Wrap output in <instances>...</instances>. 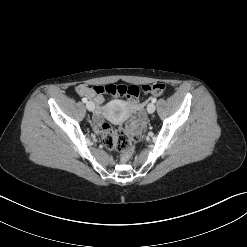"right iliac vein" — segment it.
Returning a JSON list of instances; mask_svg holds the SVG:
<instances>
[{"instance_id":"1","label":"right iliac vein","mask_w":247,"mask_h":247,"mask_svg":"<svg viewBox=\"0 0 247 247\" xmlns=\"http://www.w3.org/2000/svg\"><path fill=\"white\" fill-rule=\"evenodd\" d=\"M86 108L89 110V111H94L95 110V104L92 102V101H88L86 103Z\"/></svg>"}]
</instances>
